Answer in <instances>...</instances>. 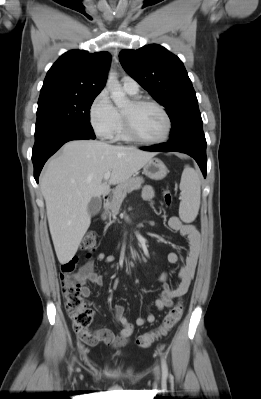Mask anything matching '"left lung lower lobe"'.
<instances>
[{
  "instance_id": "1",
  "label": "left lung lower lobe",
  "mask_w": 261,
  "mask_h": 399,
  "mask_svg": "<svg viewBox=\"0 0 261 399\" xmlns=\"http://www.w3.org/2000/svg\"><path fill=\"white\" fill-rule=\"evenodd\" d=\"M141 149L145 151L181 152L188 154L195 159L204 177H206L207 158L206 139L204 135L179 143L167 142Z\"/></svg>"
}]
</instances>
